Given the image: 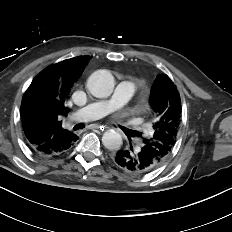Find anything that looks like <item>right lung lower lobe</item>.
<instances>
[{
    "instance_id": "98d812e1",
    "label": "right lung lower lobe",
    "mask_w": 232,
    "mask_h": 232,
    "mask_svg": "<svg viewBox=\"0 0 232 232\" xmlns=\"http://www.w3.org/2000/svg\"><path fill=\"white\" fill-rule=\"evenodd\" d=\"M24 135L29 148L40 156H55L65 153L78 140L73 132L54 133L49 140L40 144L36 143L38 130L29 121L22 122Z\"/></svg>"
}]
</instances>
